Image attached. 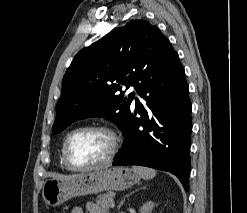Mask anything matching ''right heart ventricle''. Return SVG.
I'll return each instance as SVG.
<instances>
[{
    "label": "right heart ventricle",
    "instance_id": "right-heart-ventricle-1",
    "mask_svg": "<svg viewBox=\"0 0 247 213\" xmlns=\"http://www.w3.org/2000/svg\"><path fill=\"white\" fill-rule=\"evenodd\" d=\"M59 162H60V166L65 169V170H69V168L65 165L63 158H62V150L60 152V156H59Z\"/></svg>",
    "mask_w": 247,
    "mask_h": 213
}]
</instances>
